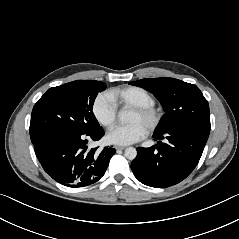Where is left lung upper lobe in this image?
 I'll return each instance as SVG.
<instances>
[{"instance_id":"1","label":"left lung upper lobe","mask_w":239,"mask_h":239,"mask_svg":"<svg viewBox=\"0 0 239 239\" xmlns=\"http://www.w3.org/2000/svg\"><path fill=\"white\" fill-rule=\"evenodd\" d=\"M154 94L165 114L155 132L174 127L199 125L210 128L209 105L199 88L174 78H148L130 82Z\"/></svg>"}]
</instances>
